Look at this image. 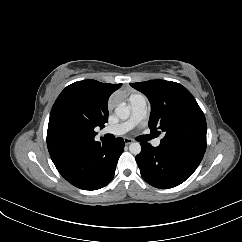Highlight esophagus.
I'll list each match as a JSON object with an SVG mask.
<instances>
[{"label": "esophagus", "instance_id": "obj_1", "mask_svg": "<svg viewBox=\"0 0 242 242\" xmlns=\"http://www.w3.org/2000/svg\"><path fill=\"white\" fill-rule=\"evenodd\" d=\"M132 142H133L132 139L124 138V143H125L126 145H129V144H131Z\"/></svg>", "mask_w": 242, "mask_h": 242}]
</instances>
